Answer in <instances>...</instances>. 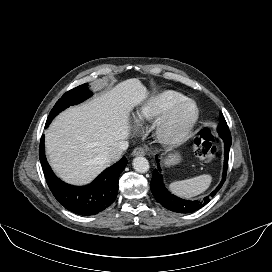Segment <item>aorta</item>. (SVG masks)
<instances>
[{
	"label": "aorta",
	"instance_id": "762f6f07",
	"mask_svg": "<svg viewBox=\"0 0 272 272\" xmlns=\"http://www.w3.org/2000/svg\"><path fill=\"white\" fill-rule=\"evenodd\" d=\"M133 168L139 173H145L149 170V162L145 157L139 156L133 159Z\"/></svg>",
	"mask_w": 272,
	"mask_h": 272
}]
</instances>
